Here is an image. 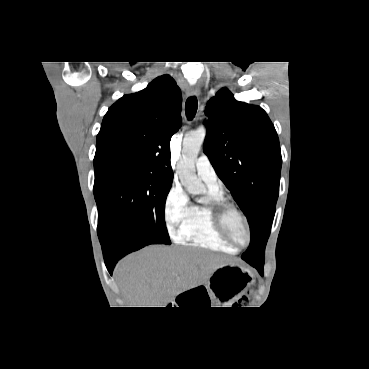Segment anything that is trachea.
Segmentation results:
<instances>
[{"mask_svg": "<svg viewBox=\"0 0 369 369\" xmlns=\"http://www.w3.org/2000/svg\"><path fill=\"white\" fill-rule=\"evenodd\" d=\"M198 101L195 96H191L186 100L185 111L188 119H193L197 111Z\"/></svg>", "mask_w": 369, "mask_h": 369, "instance_id": "3493384b", "label": "trachea"}]
</instances>
